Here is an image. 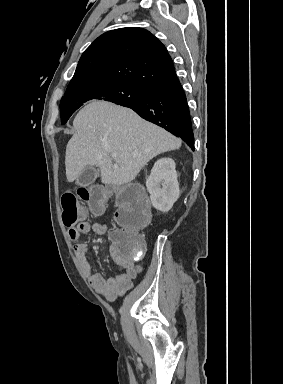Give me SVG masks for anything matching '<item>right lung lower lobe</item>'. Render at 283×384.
<instances>
[{
  "label": "right lung lower lobe",
  "mask_w": 283,
  "mask_h": 384,
  "mask_svg": "<svg viewBox=\"0 0 283 384\" xmlns=\"http://www.w3.org/2000/svg\"><path fill=\"white\" fill-rule=\"evenodd\" d=\"M120 105L133 109L145 120L180 137L194 150L187 99L176 75L148 89L142 99Z\"/></svg>",
  "instance_id": "obj_1"
}]
</instances>
